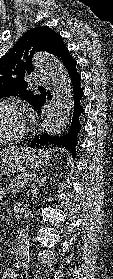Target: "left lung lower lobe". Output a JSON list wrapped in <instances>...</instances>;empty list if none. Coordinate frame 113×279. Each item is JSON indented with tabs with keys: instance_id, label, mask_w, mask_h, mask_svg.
Listing matches in <instances>:
<instances>
[{
	"instance_id": "0a47b994",
	"label": "left lung lower lobe",
	"mask_w": 113,
	"mask_h": 279,
	"mask_svg": "<svg viewBox=\"0 0 113 279\" xmlns=\"http://www.w3.org/2000/svg\"><path fill=\"white\" fill-rule=\"evenodd\" d=\"M62 63L66 67L71 77L74 89V115L73 121L71 123L70 129L65 136H49L43 134L40 137H35L33 140L29 141L32 144V147L44 148L49 146L61 147L76 155V145H77V135L81 128L79 123V116L83 113V108L79 103L80 98L83 96V91L80 88L81 76L76 70L77 62L71 57L69 52L62 58ZM46 95H44L38 103L35 104L34 109L40 113L42 105L46 101Z\"/></svg>"
}]
</instances>
